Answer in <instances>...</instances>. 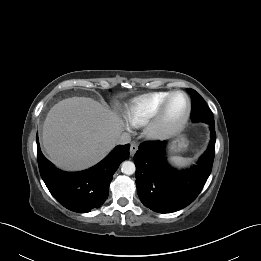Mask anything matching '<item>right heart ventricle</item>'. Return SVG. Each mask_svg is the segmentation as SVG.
Returning a JSON list of instances; mask_svg holds the SVG:
<instances>
[{
	"instance_id": "right-heart-ventricle-1",
	"label": "right heart ventricle",
	"mask_w": 261,
	"mask_h": 261,
	"mask_svg": "<svg viewBox=\"0 0 261 261\" xmlns=\"http://www.w3.org/2000/svg\"><path fill=\"white\" fill-rule=\"evenodd\" d=\"M171 92H152L132 100L125 108V117L132 127L148 124L157 114L160 107Z\"/></svg>"
}]
</instances>
